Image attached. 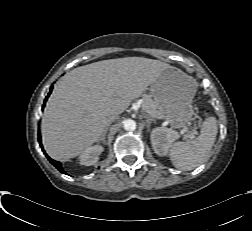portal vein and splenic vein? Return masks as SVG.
Segmentation results:
<instances>
[{
    "label": "portal vein and splenic vein",
    "instance_id": "portal-vein-and-splenic-vein-1",
    "mask_svg": "<svg viewBox=\"0 0 252 231\" xmlns=\"http://www.w3.org/2000/svg\"><path fill=\"white\" fill-rule=\"evenodd\" d=\"M142 108H143V110H145L149 115H151L152 117H154V114L148 109L147 106H145V105L143 104V105H142ZM180 132H181V134H185L186 136H190V135L188 134V129H187L186 127L182 128ZM193 134H197V132L195 131V132H193Z\"/></svg>",
    "mask_w": 252,
    "mask_h": 231
}]
</instances>
